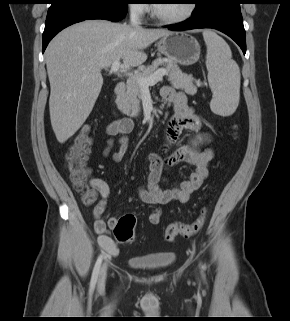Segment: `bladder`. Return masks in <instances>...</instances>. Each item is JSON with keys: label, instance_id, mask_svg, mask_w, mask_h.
I'll list each match as a JSON object with an SVG mask.
<instances>
[{"label": "bladder", "instance_id": "obj_1", "mask_svg": "<svg viewBox=\"0 0 290 321\" xmlns=\"http://www.w3.org/2000/svg\"><path fill=\"white\" fill-rule=\"evenodd\" d=\"M174 259V253H164L147 257H130L127 262L141 270H162L169 267Z\"/></svg>", "mask_w": 290, "mask_h": 321}]
</instances>
